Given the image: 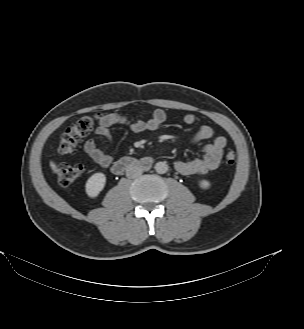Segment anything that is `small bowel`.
Segmentation results:
<instances>
[{
  "instance_id": "c3829d8e",
  "label": "small bowel",
  "mask_w": 304,
  "mask_h": 329,
  "mask_svg": "<svg viewBox=\"0 0 304 329\" xmlns=\"http://www.w3.org/2000/svg\"><path fill=\"white\" fill-rule=\"evenodd\" d=\"M167 119V114L163 109H156L152 114L143 119L131 120L128 117L119 113H107L102 116L96 128V134L106 141L111 140V127L123 126L136 133L154 131L164 123ZM196 121L194 114H186L183 117L185 125H193ZM201 140H210L203 146L204 155L189 161L177 160L174 163L175 170L182 175H204L218 168L223 151L226 146V139L223 136L214 134L210 126H201L194 134L187 138L191 144ZM85 154L95 163L103 168H107L112 163V157L97 146L94 139H89L84 143Z\"/></svg>"
}]
</instances>
